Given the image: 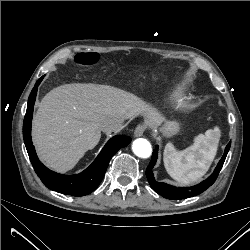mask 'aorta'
<instances>
[{"label": "aorta", "instance_id": "1", "mask_svg": "<svg viewBox=\"0 0 250 250\" xmlns=\"http://www.w3.org/2000/svg\"><path fill=\"white\" fill-rule=\"evenodd\" d=\"M132 150L134 154L141 158H148L152 153V147L148 140L139 138L133 142Z\"/></svg>", "mask_w": 250, "mask_h": 250}]
</instances>
